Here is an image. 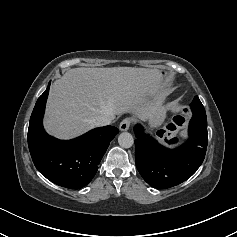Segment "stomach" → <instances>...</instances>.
Segmentation results:
<instances>
[{
  "label": "stomach",
  "instance_id": "1",
  "mask_svg": "<svg viewBox=\"0 0 237 237\" xmlns=\"http://www.w3.org/2000/svg\"><path fill=\"white\" fill-rule=\"evenodd\" d=\"M162 77L164 79H167L168 74L166 71H160ZM166 117V111L165 109L161 106L158 105L157 108L149 115V117L147 118L149 125L152 128L158 127L160 126L163 121L165 120Z\"/></svg>",
  "mask_w": 237,
  "mask_h": 237
}]
</instances>
